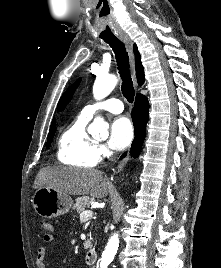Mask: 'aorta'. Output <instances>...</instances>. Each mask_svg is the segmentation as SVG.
<instances>
[{
	"mask_svg": "<svg viewBox=\"0 0 221 268\" xmlns=\"http://www.w3.org/2000/svg\"><path fill=\"white\" fill-rule=\"evenodd\" d=\"M118 79L114 75L98 76L93 86V95L96 100H101L108 96L116 87ZM90 133H100L101 136L108 135L107 123L101 117H96L92 124L89 126ZM119 247L118 234L110 237L109 242L105 248L102 256V261L106 264L110 263Z\"/></svg>",
	"mask_w": 221,
	"mask_h": 268,
	"instance_id": "1",
	"label": "aorta"
}]
</instances>
